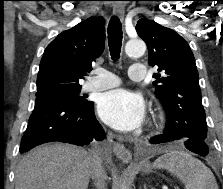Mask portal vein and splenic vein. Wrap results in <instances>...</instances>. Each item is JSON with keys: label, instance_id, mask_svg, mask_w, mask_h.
<instances>
[{"label": "portal vein and splenic vein", "instance_id": "1", "mask_svg": "<svg viewBox=\"0 0 223 189\" xmlns=\"http://www.w3.org/2000/svg\"><path fill=\"white\" fill-rule=\"evenodd\" d=\"M163 189H168V187L167 186H164Z\"/></svg>", "mask_w": 223, "mask_h": 189}]
</instances>
